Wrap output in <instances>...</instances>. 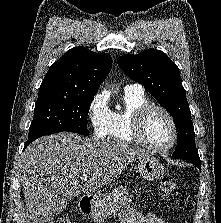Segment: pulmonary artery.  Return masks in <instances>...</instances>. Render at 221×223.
I'll list each match as a JSON object with an SVG mask.
<instances>
[{
	"instance_id": "pulmonary-artery-1",
	"label": "pulmonary artery",
	"mask_w": 221,
	"mask_h": 223,
	"mask_svg": "<svg viewBox=\"0 0 221 223\" xmlns=\"http://www.w3.org/2000/svg\"><path fill=\"white\" fill-rule=\"evenodd\" d=\"M124 90H142V87L139 84H127L124 87Z\"/></svg>"
}]
</instances>
